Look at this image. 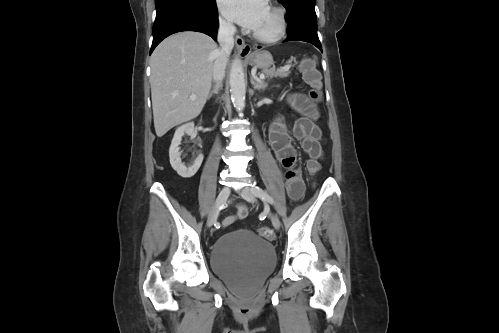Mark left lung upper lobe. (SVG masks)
I'll list each match as a JSON object with an SVG mask.
<instances>
[{
  "label": "left lung upper lobe",
  "instance_id": "5c2ea615",
  "mask_svg": "<svg viewBox=\"0 0 499 333\" xmlns=\"http://www.w3.org/2000/svg\"><path fill=\"white\" fill-rule=\"evenodd\" d=\"M280 3H282V5L285 7V8H288L289 6L295 4V3H304V4H312V5H315V1L316 0H279Z\"/></svg>",
  "mask_w": 499,
  "mask_h": 333
}]
</instances>
